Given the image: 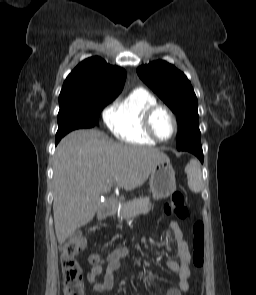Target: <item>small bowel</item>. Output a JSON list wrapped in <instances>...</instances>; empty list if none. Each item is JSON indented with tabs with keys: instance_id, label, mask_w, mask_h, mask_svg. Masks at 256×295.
<instances>
[{
	"instance_id": "obj_1",
	"label": "small bowel",
	"mask_w": 256,
	"mask_h": 295,
	"mask_svg": "<svg viewBox=\"0 0 256 295\" xmlns=\"http://www.w3.org/2000/svg\"><path fill=\"white\" fill-rule=\"evenodd\" d=\"M175 244L177 260L169 259L166 266L169 270L177 273L178 285L171 288L167 295H182L189 289L188 279L190 276V251L189 241L185 238L180 225L177 222L170 223ZM129 250L125 247H118L114 249L106 258L104 262L93 263V267L87 274V280L92 285L91 291L93 293H102L112 289L114 284L113 273L121 266L123 259L129 258ZM103 275V281L97 282V278Z\"/></svg>"
}]
</instances>
